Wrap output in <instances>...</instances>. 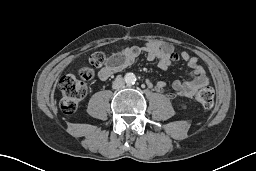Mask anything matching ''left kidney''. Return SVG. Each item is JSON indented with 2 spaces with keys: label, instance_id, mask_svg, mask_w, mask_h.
<instances>
[{
  "label": "left kidney",
  "instance_id": "1",
  "mask_svg": "<svg viewBox=\"0 0 256 171\" xmlns=\"http://www.w3.org/2000/svg\"><path fill=\"white\" fill-rule=\"evenodd\" d=\"M182 107H183V108H186V106H185V105H183Z\"/></svg>",
  "mask_w": 256,
  "mask_h": 171
}]
</instances>
